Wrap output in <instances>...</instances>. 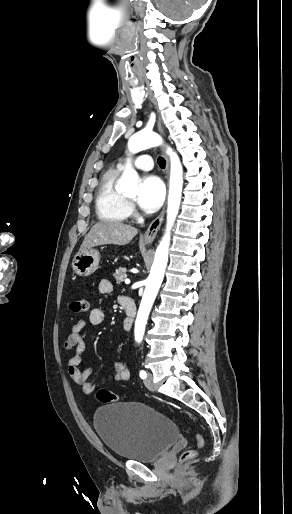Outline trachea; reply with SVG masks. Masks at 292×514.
I'll list each match as a JSON object with an SVG mask.
<instances>
[{"instance_id":"1","label":"trachea","mask_w":292,"mask_h":514,"mask_svg":"<svg viewBox=\"0 0 292 514\" xmlns=\"http://www.w3.org/2000/svg\"><path fill=\"white\" fill-rule=\"evenodd\" d=\"M157 163L159 165V167L161 169H164L165 168V165H166V161L163 157L159 156L158 159H157Z\"/></svg>"}]
</instances>
